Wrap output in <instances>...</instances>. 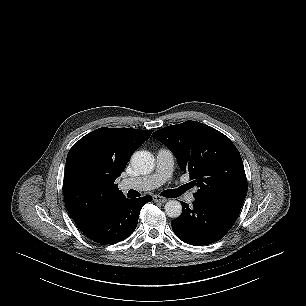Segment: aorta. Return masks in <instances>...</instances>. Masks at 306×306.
Listing matches in <instances>:
<instances>
[{"label":"aorta","mask_w":306,"mask_h":306,"mask_svg":"<svg viewBox=\"0 0 306 306\" xmlns=\"http://www.w3.org/2000/svg\"><path fill=\"white\" fill-rule=\"evenodd\" d=\"M131 165L139 174H149L155 166L153 156L147 151H137L131 157ZM165 213L171 218H177L182 213V205L177 200H169L165 204Z\"/></svg>","instance_id":"aorta-1"}]
</instances>
